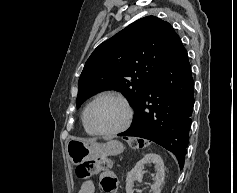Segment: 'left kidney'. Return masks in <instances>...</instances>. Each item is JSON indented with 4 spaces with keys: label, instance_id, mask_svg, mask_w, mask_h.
Masks as SVG:
<instances>
[{
    "label": "left kidney",
    "instance_id": "obj_1",
    "mask_svg": "<svg viewBox=\"0 0 237 193\" xmlns=\"http://www.w3.org/2000/svg\"><path fill=\"white\" fill-rule=\"evenodd\" d=\"M154 163L156 167V176H155V183L151 185L152 193H160L161 189L160 186L164 182L165 176V168L162 158L153 153L146 154L141 160H139L135 167L128 172L126 178V193H133V183L134 181L141 182L143 179V169L145 164L147 163Z\"/></svg>",
    "mask_w": 237,
    "mask_h": 193
}]
</instances>
